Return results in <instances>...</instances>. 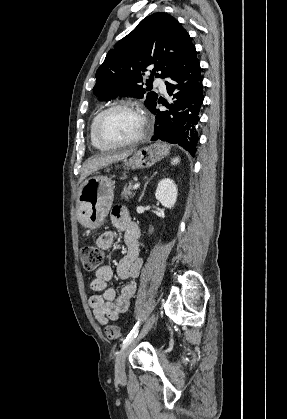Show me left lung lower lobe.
I'll use <instances>...</instances> for the list:
<instances>
[{
  "instance_id": "obj_1",
  "label": "left lung lower lobe",
  "mask_w": 287,
  "mask_h": 419,
  "mask_svg": "<svg viewBox=\"0 0 287 419\" xmlns=\"http://www.w3.org/2000/svg\"><path fill=\"white\" fill-rule=\"evenodd\" d=\"M172 103H163L168 110L160 112L156 104L150 109L156 115L152 141L162 140L179 144L192 156L198 141L196 125L203 102V85L200 63L197 58L182 71L165 82Z\"/></svg>"
}]
</instances>
